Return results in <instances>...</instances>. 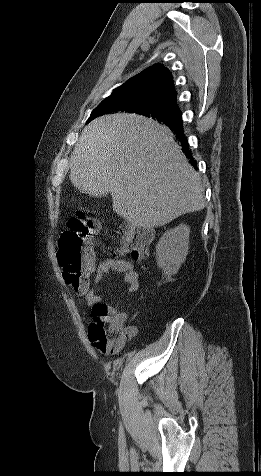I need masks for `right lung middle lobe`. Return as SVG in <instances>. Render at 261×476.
I'll use <instances>...</instances> for the list:
<instances>
[{
    "label": "right lung middle lobe",
    "mask_w": 261,
    "mask_h": 476,
    "mask_svg": "<svg viewBox=\"0 0 261 476\" xmlns=\"http://www.w3.org/2000/svg\"><path fill=\"white\" fill-rule=\"evenodd\" d=\"M121 97L111 95L103 100L98 107H96L87 122L92 119L111 112H130L147 117H152L166 125L179 122L181 120V113L178 109L170 107L164 103L157 101H145L136 103H121Z\"/></svg>",
    "instance_id": "dd1d6c3e"
}]
</instances>
